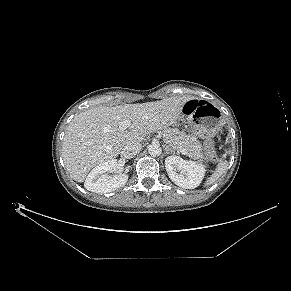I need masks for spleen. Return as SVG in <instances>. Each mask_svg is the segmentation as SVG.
<instances>
[{
  "label": "spleen",
  "instance_id": "3e777b00",
  "mask_svg": "<svg viewBox=\"0 0 291 291\" xmlns=\"http://www.w3.org/2000/svg\"><path fill=\"white\" fill-rule=\"evenodd\" d=\"M227 167H228V162L221 160L219 164L217 165L216 170L211 175V177H209L207 181L205 182V185L208 186V185L213 184L215 181H217L219 177L227 170Z\"/></svg>",
  "mask_w": 291,
  "mask_h": 291
}]
</instances>
